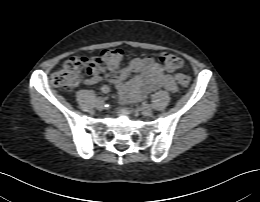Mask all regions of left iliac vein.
Here are the masks:
<instances>
[{
    "label": "left iliac vein",
    "mask_w": 260,
    "mask_h": 202,
    "mask_svg": "<svg viewBox=\"0 0 260 202\" xmlns=\"http://www.w3.org/2000/svg\"><path fill=\"white\" fill-rule=\"evenodd\" d=\"M139 111L145 116L152 115V108L150 105H142L141 107H139Z\"/></svg>",
    "instance_id": "left-iliac-vein-1"
}]
</instances>
